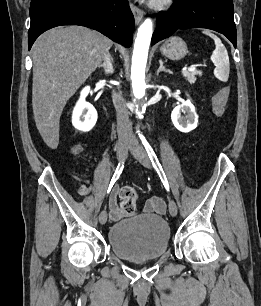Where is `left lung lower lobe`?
<instances>
[{
    "label": "left lung lower lobe",
    "instance_id": "0a47b994",
    "mask_svg": "<svg viewBox=\"0 0 261 306\" xmlns=\"http://www.w3.org/2000/svg\"><path fill=\"white\" fill-rule=\"evenodd\" d=\"M232 0H174L170 11L157 15L151 45L179 29L207 28L225 35L236 47Z\"/></svg>",
    "mask_w": 261,
    "mask_h": 306
}]
</instances>
